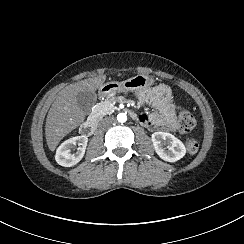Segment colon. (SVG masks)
<instances>
[{"mask_svg": "<svg viewBox=\"0 0 244 244\" xmlns=\"http://www.w3.org/2000/svg\"><path fill=\"white\" fill-rule=\"evenodd\" d=\"M178 128L181 134L186 136L185 147L189 155H194L199 151V140L193 136L196 121L192 113L186 110H178Z\"/></svg>", "mask_w": 244, "mask_h": 244, "instance_id": "1", "label": "colon"}]
</instances>
